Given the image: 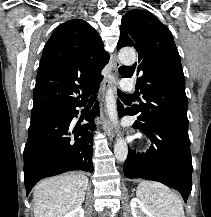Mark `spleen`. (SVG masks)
<instances>
[{"label": "spleen", "mask_w": 211, "mask_h": 217, "mask_svg": "<svg viewBox=\"0 0 211 217\" xmlns=\"http://www.w3.org/2000/svg\"><path fill=\"white\" fill-rule=\"evenodd\" d=\"M136 194L154 217H185L180 198L162 183L142 181Z\"/></svg>", "instance_id": "3e777b00"}]
</instances>
